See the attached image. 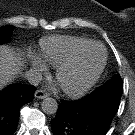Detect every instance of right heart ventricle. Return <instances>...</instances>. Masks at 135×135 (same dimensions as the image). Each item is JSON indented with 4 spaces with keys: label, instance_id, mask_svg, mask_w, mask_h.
I'll use <instances>...</instances> for the list:
<instances>
[{
    "label": "right heart ventricle",
    "instance_id": "1",
    "mask_svg": "<svg viewBox=\"0 0 135 135\" xmlns=\"http://www.w3.org/2000/svg\"><path fill=\"white\" fill-rule=\"evenodd\" d=\"M92 42L80 37L49 36L40 41L39 55L47 63L57 66Z\"/></svg>",
    "mask_w": 135,
    "mask_h": 135
}]
</instances>
